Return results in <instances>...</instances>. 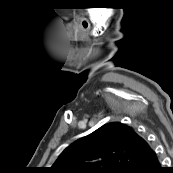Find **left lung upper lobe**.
<instances>
[{"label":"left lung upper lobe","mask_w":173,"mask_h":173,"mask_svg":"<svg viewBox=\"0 0 173 173\" xmlns=\"http://www.w3.org/2000/svg\"><path fill=\"white\" fill-rule=\"evenodd\" d=\"M152 148L122 123L103 125L68 146L53 164V173H135Z\"/></svg>","instance_id":"1"}]
</instances>
